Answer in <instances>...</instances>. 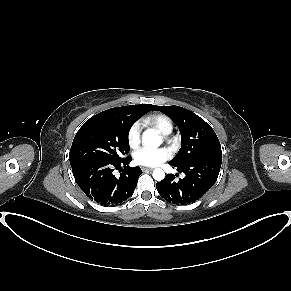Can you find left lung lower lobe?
I'll return each mask as SVG.
<instances>
[{
  "label": "left lung lower lobe",
  "instance_id": "1",
  "mask_svg": "<svg viewBox=\"0 0 291 291\" xmlns=\"http://www.w3.org/2000/svg\"><path fill=\"white\" fill-rule=\"evenodd\" d=\"M222 156L195 158L182 164L170 165L177 167L184 177L175 180L173 174H168L164 180L156 183L159 194L168 202L186 205L199 200L216 182Z\"/></svg>",
  "mask_w": 291,
  "mask_h": 291
}]
</instances>
